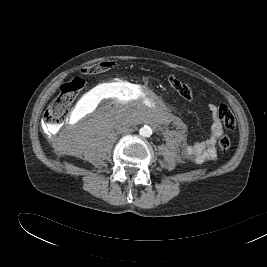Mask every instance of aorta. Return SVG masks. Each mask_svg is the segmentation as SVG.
<instances>
[{"label": "aorta", "instance_id": "obj_1", "mask_svg": "<svg viewBox=\"0 0 267 267\" xmlns=\"http://www.w3.org/2000/svg\"><path fill=\"white\" fill-rule=\"evenodd\" d=\"M139 133L143 137H150L152 135V129L149 126H144L140 129Z\"/></svg>", "mask_w": 267, "mask_h": 267}]
</instances>
